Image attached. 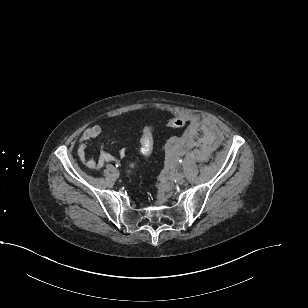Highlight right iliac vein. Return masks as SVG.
Listing matches in <instances>:
<instances>
[{
	"mask_svg": "<svg viewBox=\"0 0 308 308\" xmlns=\"http://www.w3.org/2000/svg\"><path fill=\"white\" fill-rule=\"evenodd\" d=\"M116 174H117V176H119V172L118 171H116Z\"/></svg>",
	"mask_w": 308,
	"mask_h": 308,
	"instance_id": "obj_1",
	"label": "right iliac vein"
}]
</instances>
